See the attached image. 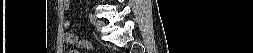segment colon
Segmentation results:
<instances>
[{
  "label": "colon",
  "mask_w": 253,
  "mask_h": 53,
  "mask_svg": "<svg viewBox=\"0 0 253 53\" xmlns=\"http://www.w3.org/2000/svg\"><path fill=\"white\" fill-rule=\"evenodd\" d=\"M79 46L80 47H83V48H92V44L88 41H84V40H81V42L79 43ZM72 53H75V51H71Z\"/></svg>",
  "instance_id": "obj_1"
}]
</instances>
